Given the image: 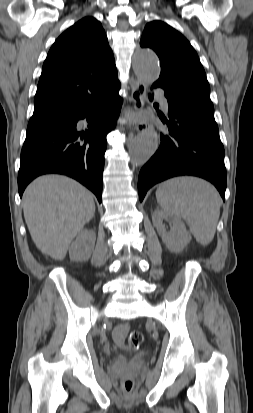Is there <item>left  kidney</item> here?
<instances>
[{
    "label": "left kidney",
    "mask_w": 253,
    "mask_h": 413,
    "mask_svg": "<svg viewBox=\"0 0 253 413\" xmlns=\"http://www.w3.org/2000/svg\"><path fill=\"white\" fill-rule=\"evenodd\" d=\"M163 221L170 225V231L167 232ZM152 222L156 228L163 243L171 252H180L191 241V235L186 230L183 222L168 213L161 210H155L152 213Z\"/></svg>",
    "instance_id": "left-kidney-1"
}]
</instances>
